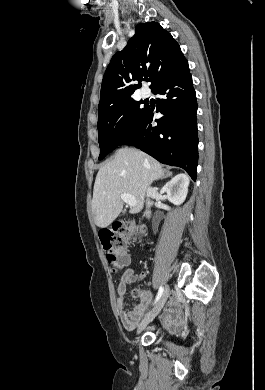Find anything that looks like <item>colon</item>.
<instances>
[{"label": "colon", "mask_w": 265, "mask_h": 390, "mask_svg": "<svg viewBox=\"0 0 265 390\" xmlns=\"http://www.w3.org/2000/svg\"><path fill=\"white\" fill-rule=\"evenodd\" d=\"M140 232H145L143 226L140 228ZM131 235V229L122 223L114 224L111 230L101 234L100 240L106 251V260L113 271L119 270L125 266L127 257L125 254V247ZM134 280H136L135 276L129 279V281ZM132 294L134 297L141 296L139 289H134Z\"/></svg>", "instance_id": "1"}]
</instances>
